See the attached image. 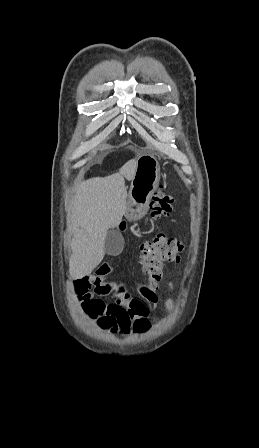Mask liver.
I'll return each mask as SVG.
<instances>
[{
  "instance_id": "liver-1",
  "label": "liver",
  "mask_w": 259,
  "mask_h": 448,
  "mask_svg": "<svg viewBox=\"0 0 259 448\" xmlns=\"http://www.w3.org/2000/svg\"><path fill=\"white\" fill-rule=\"evenodd\" d=\"M135 172V162H128L119 174L91 178L78 186L68 214V224L73 234L69 274L73 280L90 276L102 262L108 230L119 226L127 210L124 176L132 180Z\"/></svg>"
}]
</instances>
